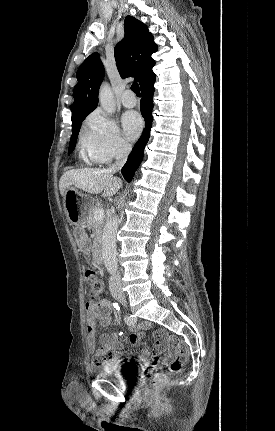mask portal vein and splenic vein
Segmentation results:
<instances>
[{"label":"portal vein and splenic vein","instance_id":"1","mask_svg":"<svg viewBox=\"0 0 275 431\" xmlns=\"http://www.w3.org/2000/svg\"><path fill=\"white\" fill-rule=\"evenodd\" d=\"M93 218L95 220H102L104 218V209L98 208L97 210H95L93 213Z\"/></svg>","mask_w":275,"mask_h":431}]
</instances>
